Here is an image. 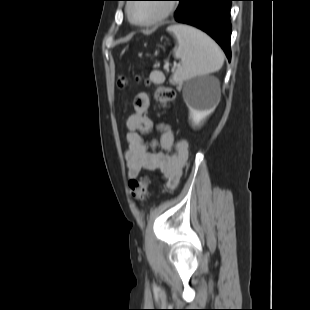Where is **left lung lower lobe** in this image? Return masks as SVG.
I'll return each instance as SVG.
<instances>
[{
    "instance_id": "obj_1",
    "label": "left lung lower lobe",
    "mask_w": 310,
    "mask_h": 310,
    "mask_svg": "<svg viewBox=\"0 0 310 310\" xmlns=\"http://www.w3.org/2000/svg\"><path fill=\"white\" fill-rule=\"evenodd\" d=\"M231 1L235 0H186L174 21L206 32L221 46L230 61Z\"/></svg>"
}]
</instances>
